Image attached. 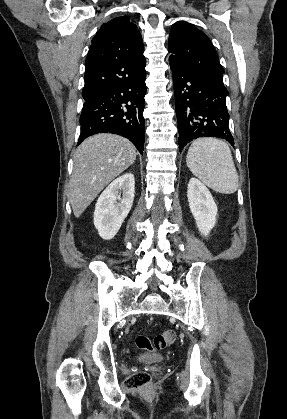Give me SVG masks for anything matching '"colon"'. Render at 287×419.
<instances>
[{"label": "colon", "mask_w": 287, "mask_h": 419, "mask_svg": "<svg viewBox=\"0 0 287 419\" xmlns=\"http://www.w3.org/2000/svg\"><path fill=\"white\" fill-rule=\"evenodd\" d=\"M176 341V333L172 330L164 331L158 334L151 340L145 335H138L135 339L136 345L140 350L143 351H157L162 350ZM150 382V376L148 373L139 371L130 375L125 382V385L129 389L143 388L146 387Z\"/></svg>", "instance_id": "5ec220e1"}]
</instances>
